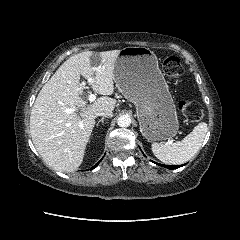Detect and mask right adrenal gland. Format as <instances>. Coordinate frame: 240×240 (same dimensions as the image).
I'll return each mask as SVG.
<instances>
[{"instance_id":"obj_1","label":"right adrenal gland","mask_w":240,"mask_h":240,"mask_svg":"<svg viewBox=\"0 0 240 240\" xmlns=\"http://www.w3.org/2000/svg\"><path fill=\"white\" fill-rule=\"evenodd\" d=\"M105 116H103L97 123H96V126L98 127L99 126V124H100V122H104V120H105Z\"/></svg>"}]
</instances>
